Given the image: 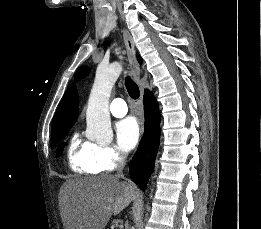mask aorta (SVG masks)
Here are the masks:
<instances>
[{"label":"aorta","mask_w":261,"mask_h":229,"mask_svg":"<svg viewBox=\"0 0 261 229\" xmlns=\"http://www.w3.org/2000/svg\"><path fill=\"white\" fill-rule=\"evenodd\" d=\"M122 70L121 62H111L108 66H103V64L97 66L86 110L87 131H90L94 139L102 133L112 135L109 98L112 86Z\"/></svg>","instance_id":"obj_1"}]
</instances>
